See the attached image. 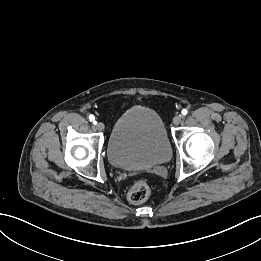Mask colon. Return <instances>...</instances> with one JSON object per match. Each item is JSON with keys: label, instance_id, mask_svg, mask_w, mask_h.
Instances as JSON below:
<instances>
[{"label": "colon", "instance_id": "5ec220e1", "mask_svg": "<svg viewBox=\"0 0 261 261\" xmlns=\"http://www.w3.org/2000/svg\"><path fill=\"white\" fill-rule=\"evenodd\" d=\"M150 195V186L145 180H137L128 191V199L132 203H142Z\"/></svg>", "mask_w": 261, "mask_h": 261}]
</instances>
